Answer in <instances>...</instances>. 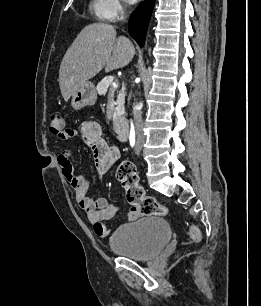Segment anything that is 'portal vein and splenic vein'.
<instances>
[{"instance_id": "18ae733b", "label": "portal vein and splenic vein", "mask_w": 261, "mask_h": 306, "mask_svg": "<svg viewBox=\"0 0 261 306\" xmlns=\"http://www.w3.org/2000/svg\"><path fill=\"white\" fill-rule=\"evenodd\" d=\"M112 86H113L114 88H117V87H118V84L115 83V82H113V83H112Z\"/></svg>"}]
</instances>
